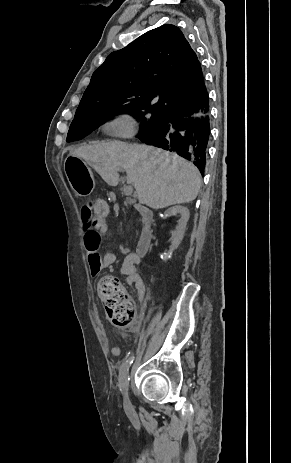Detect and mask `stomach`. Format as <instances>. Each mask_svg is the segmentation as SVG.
<instances>
[{"instance_id":"0dacf381","label":"stomach","mask_w":291,"mask_h":463,"mask_svg":"<svg viewBox=\"0 0 291 463\" xmlns=\"http://www.w3.org/2000/svg\"><path fill=\"white\" fill-rule=\"evenodd\" d=\"M72 189L78 196H88L95 185L93 172L84 157L69 156L64 164Z\"/></svg>"}]
</instances>
